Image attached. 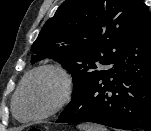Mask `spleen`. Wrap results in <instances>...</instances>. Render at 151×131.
Listing matches in <instances>:
<instances>
[{"label":"spleen","instance_id":"spleen-1","mask_svg":"<svg viewBox=\"0 0 151 131\" xmlns=\"http://www.w3.org/2000/svg\"><path fill=\"white\" fill-rule=\"evenodd\" d=\"M78 128L81 131H108L104 126L97 124H81Z\"/></svg>","mask_w":151,"mask_h":131}]
</instances>
